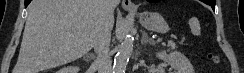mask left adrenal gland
<instances>
[{"instance_id": "obj_1", "label": "left adrenal gland", "mask_w": 244, "mask_h": 73, "mask_svg": "<svg viewBox=\"0 0 244 73\" xmlns=\"http://www.w3.org/2000/svg\"><path fill=\"white\" fill-rule=\"evenodd\" d=\"M151 44V45H154L155 42L154 40L150 39L147 35V33L145 31H143V34H142V39H141V44L144 45V44Z\"/></svg>"}]
</instances>
